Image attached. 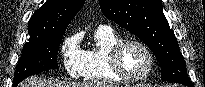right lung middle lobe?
<instances>
[{
  "mask_svg": "<svg viewBox=\"0 0 205 87\" xmlns=\"http://www.w3.org/2000/svg\"><path fill=\"white\" fill-rule=\"evenodd\" d=\"M63 34L29 38V42L23 46L12 87H16L22 79L28 76L58 68L56 58Z\"/></svg>",
  "mask_w": 205,
  "mask_h": 87,
  "instance_id": "right-lung-middle-lobe-1",
  "label": "right lung middle lobe"
}]
</instances>
